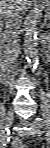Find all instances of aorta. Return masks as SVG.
I'll return each mask as SVG.
<instances>
[{"label":"aorta","mask_w":50,"mask_h":148,"mask_svg":"<svg viewBox=\"0 0 50 148\" xmlns=\"http://www.w3.org/2000/svg\"><path fill=\"white\" fill-rule=\"evenodd\" d=\"M40 20V10L35 8L31 11L25 30L24 52L28 60L29 66L36 68L38 65L37 52V25Z\"/></svg>","instance_id":"762f6f07"}]
</instances>
